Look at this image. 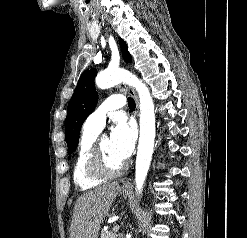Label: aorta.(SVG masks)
<instances>
[{
	"instance_id": "1",
	"label": "aorta",
	"mask_w": 247,
	"mask_h": 238,
	"mask_svg": "<svg viewBox=\"0 0 247 238\" xmlns=\"http://www.w3.org/2000/svg\"><path fill=\"white\" fill-rule=\"evenodd\" d=\"M100 89H108L121 82L133 86L140 99V137L136 157L135 184L140 194L149 170L155 140L154 103L147 86L135 75L123 69L105 70L96 77Z\"/></svg>"
}]
</instances>
